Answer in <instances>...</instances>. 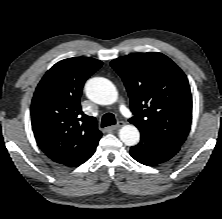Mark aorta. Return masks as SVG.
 Wrapping results in <instances>:
<instances>
[{"label": "aorta", "instance_id": "obj_1", "mask_svg": "<svg viewBox=\"0 0 222 219\" xmlns=\"http://www.w3.org/2000/svg\"><path fill=\"white\" fill-rule=\"evenodd\" d=\"M87 97L95 103L110 105L117 101L118 92L114 84L103 77H94L85 85ZM120 140L127 146H134L140 140L139 130L134 125H125L119 131Z\"/></svg>", "mask_w": 222, "mask_h": 219}]
</instances>
